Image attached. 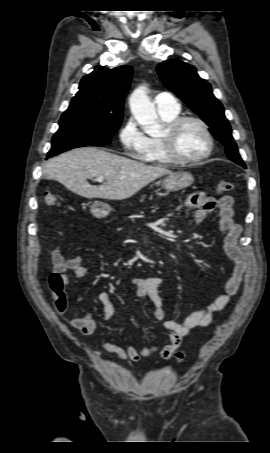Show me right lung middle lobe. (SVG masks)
<instances>
[{
    "label": "right lung middle lobe",
    "instance_id": "right-lung-middle-lobe-1",
    "mask_svg": "<svg viewBox=\"0 0 270 453\" xmlns=\"http://www.w3.org/2000/svg\"><path fill=\"white\" fill-rule=\"evenodd\" d=\"M121 120L98 114L62 116L47 157L82 146H104L111 142Z\"/></svg>",
    "mask_w": 270,
    "mask_h": 453
}]
</instances>
